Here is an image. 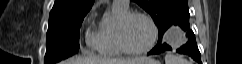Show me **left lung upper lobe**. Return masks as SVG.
Instances as JSON below:
<instances>
[{"label":"left lung upper lobe","mask_w":242,"mask_h":64,"mask_svg":"<svg viewBox=\"0 0 242 64\" xmlns=\"http://www.w3.org/2000/svg\"><path fill=\"white\" fill-rule=\"evenodd\" d=\"M146 10L158 26V43L172 25L190 17L187 0H133Z\"/></svg>","instance_id":"obj_1"}]
</instances>
